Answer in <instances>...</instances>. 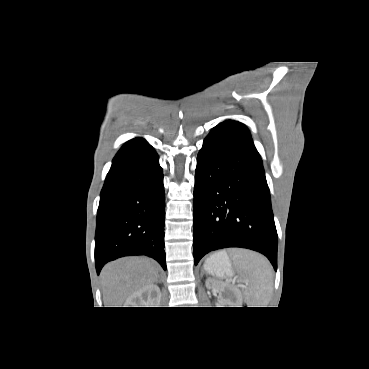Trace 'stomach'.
I'll use <instances>...</instances> for the list:
<instances>
[{
  "mask_svg": "<svg viewBox=\"0 0 369 369\" xmlns=\"http://www.w3.org/2000/svg\"><path fill=\"white\" fill-rule=\"evenodd\" d=\"M205 270L217 277H231L234 274L231 261L225 251H220L210 256L205 264Z\"/></svg>",
  "mask_w": 369,
  "mask_h": 369,
  "instance_id": "obj_1",
  "label": "stomach"
}]
</instances>
